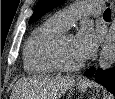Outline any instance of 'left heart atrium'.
I'll use <instances>...</instances> for the list:
<instances>
[{"label": "left heart atrium", "mask_w": 115, "mask_h": 99, "mask_svg": "<svg viewBox=\"0 0 115 99\" xmlns=\"http://www.w3.org/2000/svg\"><path fill=\"white\" fill-rule=\"evenodd\" d=\"M101 33L95 30L92 25L84 24L75 36V44L78 54L82 60H86L95 52Z\"/></svg>", "instance_id": "obj_1"}]
</instances>
